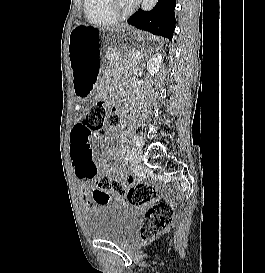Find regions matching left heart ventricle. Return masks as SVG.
I'll return each mask as SVG.
<instances>
[{
	"label": "left heart ventricle",
	"mask_w": 265,
	"mask_h": 273,
	"mask_svg": "<svg viewBox=\"0 0 265 273\" xmlns=\"http://www.w3.org/2000/svg\"><path fill=\"white\" fill-rule=\"evenodd\" d=\"M116 6L118 7L119 10H124L126 9L131 3V0H115Z\"/></svg>",
	"instance_id": "left-heart-ventricle-1"
}]
</instances>
